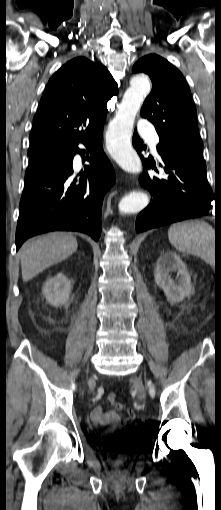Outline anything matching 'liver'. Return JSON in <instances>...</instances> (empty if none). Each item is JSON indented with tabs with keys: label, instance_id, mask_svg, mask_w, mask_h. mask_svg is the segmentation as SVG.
<instances>
[{
	"label": "liver",
	"instance_id": "obj_1",
	"mask_svg": "<svg viewBox=\"0 0 221 510\" xmlns=\"http://www.w3.org/2000/svg\"><path fill=\"white\" fill-rule=\"evenodd\" d=\"M77 248L76 237L62 232L27 241L19 252L23 281L27 282L46 268L67 259Z\"/></svg>",
	"mask_w": 221,
	"mask_h": 510
}]
</instances>
